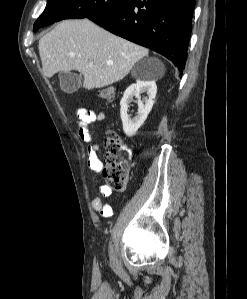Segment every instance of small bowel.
<instances>
[{
  "mask_svg": "<svg viewBox=\"0 0 247 299\" xmlns=\"http://www.w3.org/2000/svg\"><path fill=\"white\" fill-rule=\"evenodd\" d=\"M79 118L78 131L82 140L89 143L87 149V163L90 169L95 172H99L102 168V162L99 158L100 147L95 143V138L91 132L92 127L104 120V114L101 112H95L94 110H88L80 108L77 111ZM111 195V189L107 185H100L98 188V194L92 201L94 210L99 212L102 217L108 218L113 214V208L111 205L104 203L103 198Z\"/></svg>",
  "mask_w": 247,
  "mask_h": 299,
  "instance_id": "small-bowel-1",
  "label": "small bowel"
}]
</instances>
